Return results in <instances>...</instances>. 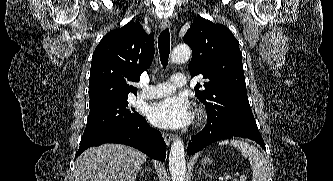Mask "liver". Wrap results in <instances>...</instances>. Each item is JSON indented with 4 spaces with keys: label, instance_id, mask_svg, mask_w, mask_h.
<instances>
[{
    "label": "liver",
    "instance_id": "6515ba94",
    "mask_svg": "<svg viewBox=\"0 0 333 181\" xmlns=\"http://www.w3.org/2000/svg\"><path fill=\"white\" fill-rule=\"evenodd\" d=\"M145 161V154L129 146L92 147L77 158L75 181H135Z\"/></svg>",
    "mask_w": 333,
    "mask_h": 181
}]
</instances>
